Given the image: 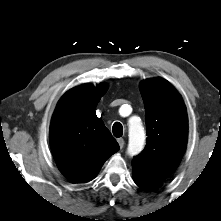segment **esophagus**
I'll return each mask as SVG.
<instances>
[{"mask_svg":"<svg viewBox=\"0 0 221 221\" xmlns=\"http://www.w3.org/2000/svg\"><path fill=\"white\" fill-rule=\"evenodd\" d=\"M117 142H118V144H119V147L122 149V148L124 147V145H125L124 139H123V138H119V139L117 140Z\"/></svg>","mask_w":221,"mask_h":221,"instance_id":"1","label":"esophagus"}]
</instances>
